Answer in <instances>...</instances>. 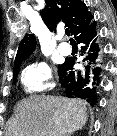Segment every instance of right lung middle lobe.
Here are the masks:
<instances>
[{"label": "right lung middle lobe", "mask_w": 117, "mask_h": 136, "mask_svg": "<svg viewBox=\"0 0 117 136\" xmlns=\"http://www.w3.org/2000/svg\"><path fill=\"white\" fill-rule=\"evenodd\" d=\"M18 73H19V66L16 67V68H14V79H13V83L16 82Z\"/></svg>", "instance_id": "right-lung-middle-lobe-1"}]
</instances>
